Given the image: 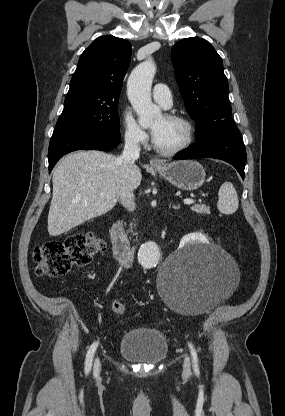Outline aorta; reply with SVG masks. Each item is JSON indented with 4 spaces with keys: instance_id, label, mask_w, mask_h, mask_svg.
<instances>
[{
    "instance_id": "obj_1",
    "label": "aorta",
    "mask_w": 285,
    "mask_h": 416,
    "mask_svg": "<svg viewBox=\"0 0 285 416\" xmlns=\"http://www.w3.org/2000/svg\"><path fill=\"white\" fill-rule=\"evenodd\" d=\"M155 72L154 61L148 59L133 69L127 82L128 99L141 125H149L161 115L160 109L151 100V87ZM159 258L160 252L155 242L149 241L141 245L138 261L143 267H155Z\"/></svg>"
}]
</instances>
